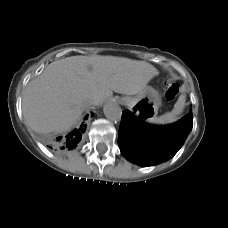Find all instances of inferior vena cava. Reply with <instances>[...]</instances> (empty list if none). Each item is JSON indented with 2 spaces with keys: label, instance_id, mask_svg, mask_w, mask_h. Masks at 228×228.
<instances>
[{
  "label": "inferior vena cava",
  "instance_id": "1",
  "mask_svg": "<svg viewBox=\"0 0 228 228\" xmlns=\"http://www.w3.org/2000/svg\"><path fill=\"white\" fill-rule=\"evenodd\" d=\"M83 105H84L85 108H87L89 106H92L93 102L91 100H86Z\"/></svg>",
  "mask_w": 228,
  "mask_h": 228
}]
</instances>
